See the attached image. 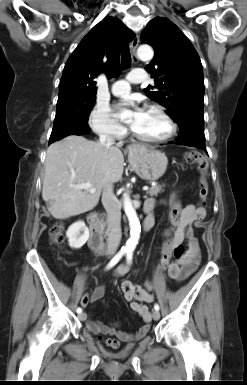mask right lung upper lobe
<instances>
[{
	"instance_id": "obj_1",
	"label": "right lung upper lobe",
	"mask_w": 247,
	"mask_h": 385,
	"mask_svg": "<svg viewBox=\"0 0 247 385\" xmlns=\"http://www.w3.org/2000/svg\"><path fill=\"white\" fill-rule=\"evenodd\" d=\"M135 34L121 20L108 17L82 39L69 57L60 82L59 94H96L94 78L100 71L108 77L120 71V49Z\"/></svg>"
}]
</instances>
